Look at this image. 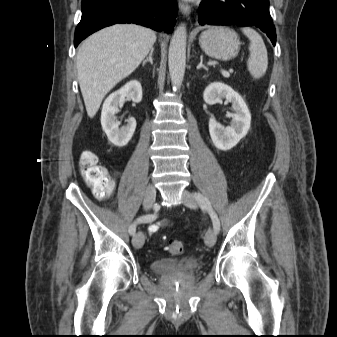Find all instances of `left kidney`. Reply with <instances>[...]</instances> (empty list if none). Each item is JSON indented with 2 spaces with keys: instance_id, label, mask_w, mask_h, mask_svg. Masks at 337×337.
<instances>
[{
  "instance_id": "1",
  "label": "left kidney",
  "mask_w": 337,
  "mask_h": 337,
  "mask_svg": "<svg viewBox=\"0 0 337 337\" xmlns=\"http://www.w3.org/2000/svg\"><path fill=\"white\" fill-rule=\"evenodd\" d=\"M223 98L232 103L234 113L227 116L232 118L230 126L224 127L211 117L209 120V132L216 148L227 151L237 145L246 136L251 123V114L243 98L230 86L215 82L211 83L204 91L203 99L213 105Z\"/></svg>"
}]
</instances>
